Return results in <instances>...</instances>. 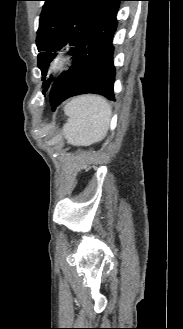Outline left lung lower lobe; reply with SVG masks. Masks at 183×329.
<instances>
[{"instance_id": "obj_1", "label": "left lung lower lobe", "mask_w": 183, "mask_h": 329, "mask_svg": "<svg viewBox=\"0 0 183 329\" xmlns=\"http://www.w3.org/2000/svg\"><path fill=\"white\" fill-rule=\"evenodd\" d=\"M104 13L86 32L75 53V62L53 82L51 106L85 93H96L114 100V44L119 3ZM55 110V108H53Z\"/></svg>"}]
</instances>
